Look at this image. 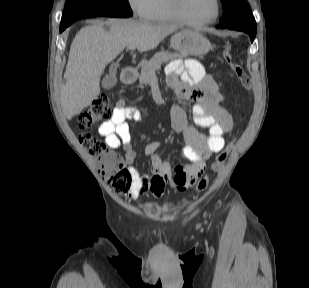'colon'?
<instances>
[{
	"label": "colon",
	"mask_w": 309,
	"mask_h": 288,
	"mask_svg": "<svg viewBox=\"0 0 309 288\" xmlns=\"http://www.w3.org/2000/svg\"><path fill=\"white\" fill-rule=\"evenodd\" d=\"M223 56L236 76L241 86L246 91H251L252 81L246 73L242 63L235 59L232 47L225 45ZM113 114V109L107 95H99L77 118V127L81 130L90 128L102 120L109 119ZM80 143L95 158L100 174L106 179L110 187L116 192H126L131 188L132 176L125 167L123 157L111 149L99 138L89 133L82 132L79 135ZM233 148V142L221 150L210 165V171H218L224 165ZM209 183V175L202 177L197 190L204 191Z\"/></svg>",
	"instance_id": "1"
}]
</instances>
